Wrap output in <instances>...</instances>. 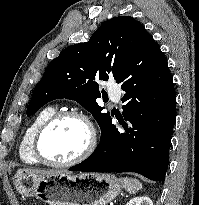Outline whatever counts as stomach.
Instances as JSON below:
<instances>
[{
  "label": "stomach",
  "mask_w": 199,
  "mask_h": 205,
  "mask_svg": "<svg viewBox=\"0 0 199 205\" xmlns=\"http://www.w3.org/2000/svg\"><path fill=\"white\" fill-rule=\"evenodd\" d=\"M13 182L19 193L49 205H106L122 188L120 180L107 173L34 176L16 172Z\"/></svg>",
  "instance_id": "0dacf381"
}]
</instances>
